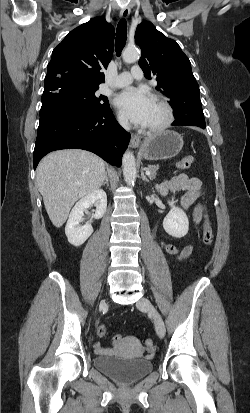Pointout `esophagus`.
Wrapping results in <instances>:
<instances>
[{
    "label": "esophagus",
    "mask_w": 250,
    "mask_h": 413,
    "mask_svg": "<svg viewBox=\"0 0 250 413\" xmlns=\"http://www.w3.org/2000/svg\"><path fill=\"white\" fill-rule=\"evenodd\" d=\"M130 14V8L129 7H125L120 11V18L121 19H126ZM140 143V137L137 134H132L131 135V140H130V146L132 148H136L138 147Z\"/></svg>",
    "instance_id": "1"
}]
</instances>
